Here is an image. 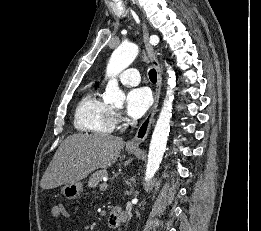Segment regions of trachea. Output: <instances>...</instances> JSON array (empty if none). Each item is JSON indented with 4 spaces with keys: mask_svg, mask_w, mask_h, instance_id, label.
Returning <instances> with one entry per match:
<instances>
[{
    "mask_svg": "<svg viewBox=\"0 0 261 231\" xmlns=\"http://www.w3.org/2000/svg\"><path fill=\"white\" fill-rule=\"evenodd\" d=\"M149 78H150L151 82L156 83V81H157V73H156L155 69H151L149 71Z\"/></svg>",
    "mask_w": 261,
    "mask_h": 231,
    "instance_id": "trachea-1",
    "label": "trachea"
}]
</instances>
